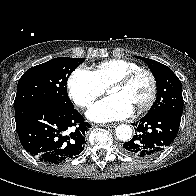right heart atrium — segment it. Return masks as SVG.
I'll use <instances>...</instances> for the list:
<instances>
[{
	"mask_svg": "<svg viewBox=\"0 0 196 196\" xmlns=\"http://www.w3.org/2000/svg\"><path fill=\"white\" fill-rule=\"evenodd\" d=\"M72 101L82 108H89L105 91L95 73L85 67L75 69L68 80Z\"/></svg>",
	"mask_w": 196,
	"mask_h": 196,
	"instance_id": "d8ad5b80",
	"label": "right heart atrium"
}]
</instances>
